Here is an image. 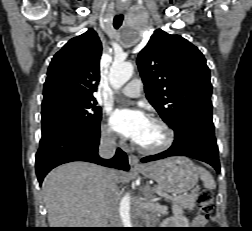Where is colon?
<instances>
[{
	"instance_id": "1",
	"label": "colon",
	"mask_w": 252,
	"mask_h": 231,
	"mask_svg": "<svg viewBox=\"0 0 252 231\" xmlns=\"http://www.w3.org/2000/svg\"><path fill=\"white\" fill-rule=\"evenodd\" d=\"M197 205L202 216L208 220L213 210V194L210 190H202L198 194Z\"/></svg>"
}]
</instances>
